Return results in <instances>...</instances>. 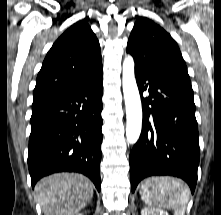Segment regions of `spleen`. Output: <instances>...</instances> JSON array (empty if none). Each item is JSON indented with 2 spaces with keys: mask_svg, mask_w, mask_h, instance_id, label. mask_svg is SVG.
Returning <instances> with one entry per match:
<instances>
[{
  "mask_svg": "<svg viewBox=\"0 0 221 215\" xmlns=\"http://www.w3.org/2000/svg\"><path fill=\"white\" fill-rule=\"evenodd\" d=\"M140 195L149 206L173 209L174 215H184L190 191L179 179L153 177L143 182Z\"/></svg>",
  "mask_w": 221,
  "mask_h": 215,
  "instance_id": "3e777b00",
  "label": "spleen"
}]
</instances>
